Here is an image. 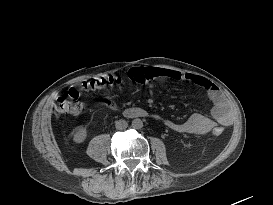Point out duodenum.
<instances>
[{"mask_svg": "<svg viewBox=\"0 0 273 205\" xmlns=\"http://www.w3.org/2000/svg\"><path fill=\"white\" fill-rule=\"evenodd\" d=\"M124 113L127 115H132L128 109L124 110ZM141 115H142L141 112H136L135 114H133V116H141Z\"/></svg>", "mask_w": 273, "mask_h": 205, "instance_id": "410a0bca", "label": "duodenum"}]
</instances>
